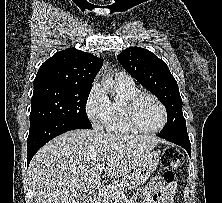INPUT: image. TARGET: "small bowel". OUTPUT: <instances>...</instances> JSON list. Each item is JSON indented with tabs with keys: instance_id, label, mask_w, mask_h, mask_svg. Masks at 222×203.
I'll list each match as a JSON object with an SVG mask.
<instances>
[{
	"instance_id": "small-bowel-1",
	"label": "small bowel",
	"mask_w": 222,
	"mask_h": 203,
	"mask_svg": "<svg viewBox=\"0 0 222 203\" xmlns=\"http://www.w3.org/2000/svg\"><path fill=\"white\" fill-rule=\"evenodd\" d=\"M176 191L174 182L163 183L160 180H153L139 192V200L135 203H172Z\"/></svg>"
}]
</instances>
